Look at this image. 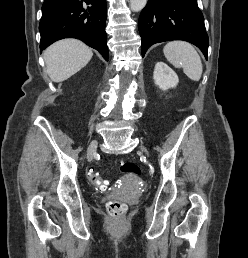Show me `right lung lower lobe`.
<instances>
[{
	"label": "right lung lower lobe",
	"mask_w": 248,
	"mask_h": 258,
	"mask_svg": "<svg viewBox=\"0 0 248 258\" xmlns=\"http://www.w3.org/2000/svg\"><path fill=\"white\" fill-rule=\"evenodd\" d=\"M106 0H45L39 24L40 48L63 38L82 40L108 61Z\"/></svg>",
	"instance_id": "1"
}]
</instances>
